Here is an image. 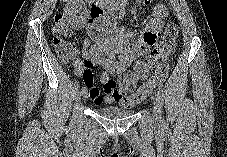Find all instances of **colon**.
Here are the masks:
<instances>
[{
    "mask_svg": "<svg viewBox=\"0 0 227 157\" xmlns=\"http://www.w3.org/2000/svg\"><path fill=\"white\" fill-rule=\"evenodd\" d=\"M178 35V25L175 22L168 23L164 34L156 42L153 52L146 58L140 71L146 73L160 61L156 70L149 79L131 95L123 96L121 101L123 107L129 108L144 101L155 88L162 85L169 72L167 60L174 51ZM69 36H71V29L68 24L60 15L56 16L53 25L52 44L58 60L62 63L70 62L75 56L76 49L74 44L65 39ZM116 82L122 91L126 92L128 90V84L124 77Z\"/></svg>",
    "mask_w": 227,
    "mask_h": 157,
    "instance_id": "obj_1",
    "label": "colon"
}]
</instances>
